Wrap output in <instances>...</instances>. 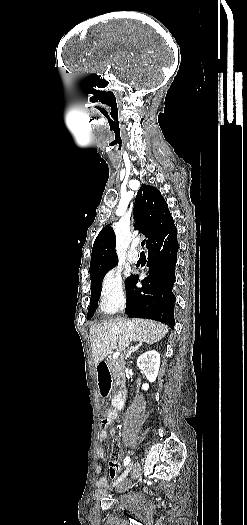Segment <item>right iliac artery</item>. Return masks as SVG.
Listing matches in <instances>:
<instances>
[{
	"mask_svg": "<svg viewBox=\"0 0 247 525\" xmlns=\"http://www.w3.org/2000/svg\"><path fill=\"white\" fill-rule=\"evenodd\" d=\"M129 462H130V457L127 456V457L125 458V460H124V466H127V465L129 464Z\"/></svg>",
	"mask_w": 247,
	"mask_h": 525,
	"instance_id": "obj_1",
	"label": "right iliac artery"
}]
</instances>
